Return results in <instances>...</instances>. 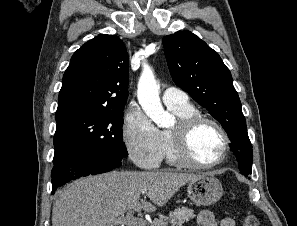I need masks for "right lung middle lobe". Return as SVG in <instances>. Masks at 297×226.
Listing matches in <instances>:
<instances>
[{
  "mask_svg": "<svg viewBox=\"0 0 297 226\" xmlns=\"http://www.w3.org/2000/svg\"><path fill=\"white\" fill-rule=\"evenodd\" d=\"M56 122L55 151L93 148L128 156L122 140L123 111L77 113Z\"/></svg>",
  "mask_w": 297,
  "mask_h": 226,
  "instance_id": "right-lung-middle-lobe-1",
  "label": "right lung middle lobe"
}]
</instances>
